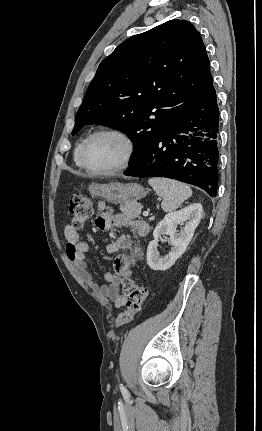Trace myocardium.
Listing matches in <instances>:
<instances>
[{
	"label": "myocardium",
	"instance_id": "myocardium-1",
	"mask_svg": "<svg viewBox=\"0 0 262 431\" xmlns=\"http://www.w3.org/2000/svg\"><path fill=\"white\" fill-rule=\"evenodd\" d=\"M101 135H114L120 138L125 145V154L122 161L120 162L119 165H117L112 169L94 170L86 162V153L90 142L94 138ZM135 151H136V147H135L134 140L126 131L119 128L100 129L98 131H95L85 139L80 151V163L82 165V168H84L89 174L93 176H112V175L118 174L119 172H122L129 166V164L131 163L134 157Z\"/></svg>",
	"mask_w": 262,
	"mask_h": 431
}]
</instances>
